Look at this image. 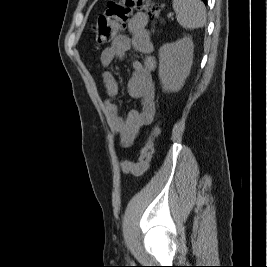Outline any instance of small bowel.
Returning a JSON list of instances; mask_svg holds the SVG:
<instances>
[{
    "label": "small bowel",
    "instance_id": "c3829d8e",
    "mask_svg": "<svg viewBox=\"0 0 267 267\" xmlns=\"http://www.w3.org/2000/svg\"><path fill=\"white\" fill-rule=\"evenodd\" d=\"M147 23L148 17L145 13L134 14L128 23L130 36L115 37L112 44L100 55L101 65L106 69L114 60L123 59L131 49L146 55L144 61H132L133 73L128 83V93L132 98L141 101V109L131 111L126 119L120 116L116 103L119 95L117 79L109 70H105L102 75L108 96L104 102V113L111 130L118 136L120 145L124 148L134 144L143 128L152 123L156 113L155 85L152 78L156 61L151 55L153 44L146 29Z\"/></svg>",
    "mask_w": 267,
    "mask_h": 267
}]
</instances>
